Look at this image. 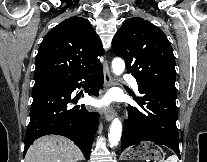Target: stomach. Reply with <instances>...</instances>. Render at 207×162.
Wrapping results in <instances>:
<instances>
[{
	"label": "stomach",
	"instance_id": "0dacf381",
	"mask_svg": "<svg viewBox=\"0 0 207 162\" xmlns=\"http://www.w3.org/2000/svg\"><path fill=\"white\" fill-rule=\"evenodd\" d=\"M163 155L160 147L145 142L126 151L123 158L125 160H162Z\"/></svg>",
	"mask_w": 207,
	"mask_h": 162
}]
</instances>
